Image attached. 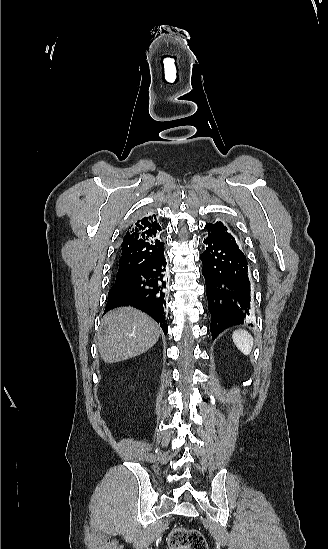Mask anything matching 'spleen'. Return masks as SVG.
<instances>
[{
    "mask_svg": "<svg viewBox=\"0 0 328 549\" xmlns=\"http://www.w3.org/2000/svg\"><path fill=\"white\" fill-rule=\"evenodd\" d=\"M233 343L236 345L237 349L243 353V355H250L253 347V337L248 333V331H234L232 335Z\"/></svg>",
    "mask_w": 328,
    "mask_h": 549,
    "instance_id": "3e777b00",
    "label": "spleen"
}]
</instances>
